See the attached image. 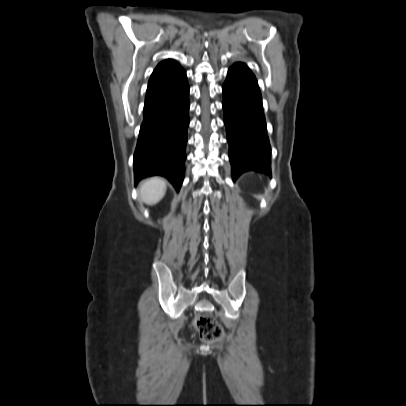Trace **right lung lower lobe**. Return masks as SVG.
<instances>
[{"mask_svg": "<svg viewBox=\"0 0 406 406\" xmlns=\"http://www.w3.org/2000/svg\"><path fill=\"white\" fill-rule=\"evenodd\" d=\"M189 85L179 65L161 81L148 85L134 154L135 180L166 177L178 191L184 178L189 125Z\"/></svg>", "mask_w": 406, "mask_h": 406, "instance_id": "98d812e1", "label": "right lung lower lobe"}]
</instances>
